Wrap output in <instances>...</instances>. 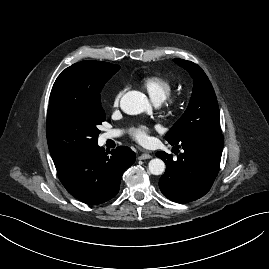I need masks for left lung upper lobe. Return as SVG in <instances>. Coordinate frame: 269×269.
<instances>
[{
    "instance_id": "obj_1",
    "label": "left lung upper lobe",
    "mask_w": 269,
    "mask_h": 269,
    "mask_svg": "<svg viewBox=\"0 0 269 269\" xmlns=\"http://www.w3.org/2000/svg\"><path fill=\"white\" fill-rule=\"evenodd\" d=\"M174 61L190 73L194 87L185 113L167 132L165 139L171 145H177L201 131H221L218 102L204 71L191 61Z\"/></svg>"
}]
</instances>
